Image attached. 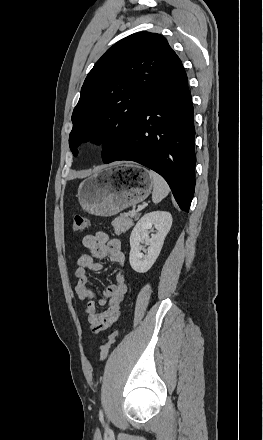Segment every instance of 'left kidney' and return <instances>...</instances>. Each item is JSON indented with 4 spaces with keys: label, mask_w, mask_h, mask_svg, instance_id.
I'll return each instance as SVG.
<instances>
[{
    "label": "left kidney",
    "mask_w": 263,
    "mask_h": 440,
    "mask_svg": "<svg viewBox=\"0 0 263 440\" xmlns=\"http://www.w3.org/2000/svg\"><path fill=\"white\" fill-rule=\"evenodd\" d=\"M171 226L172 216L166 211H153L141 217L130 235L129 262L134 271L145 273L152 267ZM152 228L156 229V233L150 238L149 230ZM141 243H145V247ZM141 250H146L147 254L144 255Z\"/></svg>",
    "instance_id": "1"
}]
</instances>
